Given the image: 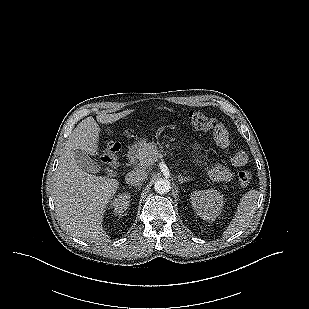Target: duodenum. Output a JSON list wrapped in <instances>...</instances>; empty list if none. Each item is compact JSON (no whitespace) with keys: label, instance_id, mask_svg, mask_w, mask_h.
Listing matches in <instances>:
<instances>
[{"label":"duodenum","instance_id":"duodenum-1","mask_svg":"<svg viewBox=\"0 0 309 309\" xmlns=\"http://www.w3.org/2000/svg\"><path fill=\"white\" fill-rule=\"evenodd\" d=\"M138 156V151L136 148H131L127 153V160L132 162L134 161Z\"/></svg>","mask_w":309,"mask_h":309}]
</instances>
